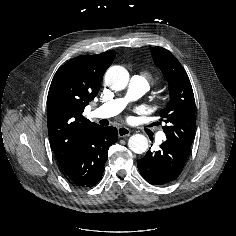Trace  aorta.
<instances>
[{
	"mask_svg": "<svg viewBox=\"0 0 236 236\" xmlns=\"http://www.w3.org/2000/svg\"><path fill=\"white\" fill-rule=\"evenodd\" d=\"M129 82V73L122 66H113L105 74V83L112 90H122ZM128 147L137 154H142L148 149V140L144 135L134 134L128 140Z\"/></svg>",
	"mask_w": 236,
	"mask_h": 236,
	"instance_id": "aorta-1",
	"label": "aorta"
}]
</instances>
